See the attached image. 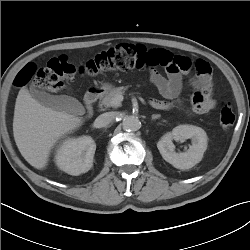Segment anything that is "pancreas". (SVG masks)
<instances>
[{"label": "pancreas", "instance_id": "cf45deb5", "mask_svg": "<svg viewBox=\"0 0 250 250\" xmlns=\"http://www.w3.org/2000/svg\"><path fill=\"white\" fill-rule=\"evenodd\" d=\"M126 89H127L126 87H117V88L111 89L101 99V101H100L101 106H104L106 108H108V107H114V108L118 107L120 104L115 103L114 102V98L117 95L124 94V92H125Z\"/></svg>", "mask_w": 250, "mask_h": 250}]
</instances>
